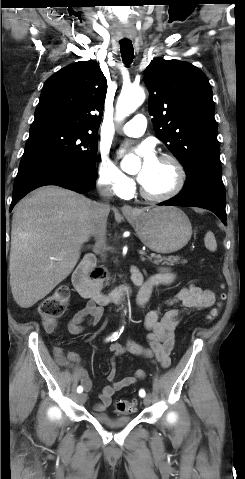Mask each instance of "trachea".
Instances as JSON below:
<instances>
[{
  "label": "trachea",
  "mask_w": 245,
  "mask_h": 479,
  "mask_svg": "<svg viewBox=\"0 0 245 479\" xmlns=\"http://www.w3.org/2000/svg\"><path fill=\"white\" fill-rule=\"evenodd\" d=\"M120 53L124 64L126 66H129L132 63L134 57V49L130 40L120 41Z\"/></svg>",
  "instance_id": "trachea-1"
}]
</instances>
